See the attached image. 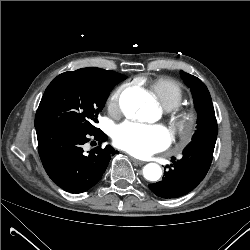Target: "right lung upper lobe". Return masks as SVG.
I'll list each match as a JSON object with an SVG mask.
<instances>
[{
    "instance_id": "obj_1",
    "label": "right lung upper lobe",
    "mask_w": 250,
    "mask_h": 250,
    "mask_svg": "<svg viewBox=\"0 0 250 250\" xmlns=\"http://www.w3.org/2000/svg\"><path fill=\"white\" fill-rule=\"evenodd\" d=\"M79 70H81V71H106V70L99 69V68H82Z\"/></svg>"
}]
</instances>
